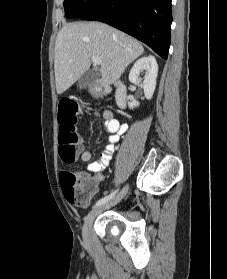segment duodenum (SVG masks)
I'll return each instance as SVG.
<instances>
[{"label":"duodenum","instance_id":"obj_1","mask_svg":"<svg viewBox=\"0 0 227 279\" xmlns=\"http://www.w3.org/2000/svg\"><path fill=\"white\" fill-rule=\"evenodd\" d=\"M114 93H115V99L120 108H125L127 104V88L126 86L121 83L117 82L113 86ZM110 88L105 85L104 83L100 82L97 83L94 88L92 95L94 97H103L109 94Z\"/></svg>","mask_w":227,"mask_h":279}]
</instances>
